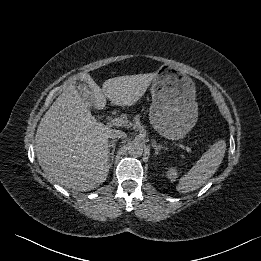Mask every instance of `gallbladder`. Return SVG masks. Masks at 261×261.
<instances>
[{"instance_id":"1","label":"gallbladder","mask_w":261,"mask_h":261,"mask_svg":"<svg viewBox=\"0 0 261 261\" xmlns=\"http://www.w3.org/2000/svg\"><path fill=\"white\" fill-rule=\"evenodd\" d=\"M76 89L82 96L83 100L87 102L88 108H94V103H93V93L91 89L84 83L77 82L75 83Z\"/></svg>"}]
</instances>
